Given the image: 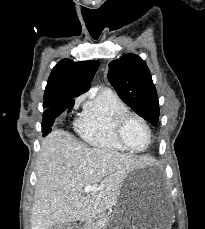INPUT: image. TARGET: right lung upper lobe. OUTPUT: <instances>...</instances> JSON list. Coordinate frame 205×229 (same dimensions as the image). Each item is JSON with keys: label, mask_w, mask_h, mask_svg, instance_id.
<instances>
[{"label": "right lung upper lobe", "mask_w": 205, "mask_h": 229, "mask_svg": "<svg viewBox=\"0 0 205 229\" xmlns=\"http://www.w3.org/2000/svg\"><path fill=\"white\" fill-rule=\"evenodd\" d=\"M98 61L63 59L53 68L44 93V107L73 99L90 89Z\"/></svg>", "instance_id": "1"}]
</instances>
